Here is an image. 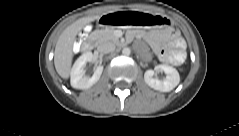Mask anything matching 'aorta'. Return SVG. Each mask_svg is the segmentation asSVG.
<instances>
[{
    "mask_svg": "<svg viewBox=\"0 0 239 136\" xmlns=\"http://www.w3.org/2000/svg\"><path fill=\"white\" fill-rule=\"evenodd\" d=\"M122 53H123V55L128 56V55H130L131 50H130V48L125 47V48H123Z\"/></svg>",
    "mask_w": 239,
    "mask_h": 136,
    "instance_id": "762f6f07",
    "label": "aorta"
}]
</instances>
